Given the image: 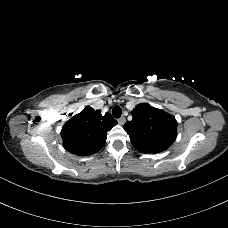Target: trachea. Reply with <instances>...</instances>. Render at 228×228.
I'll use <instances>...</instances> for the list:
<instances>
[{"instance_id":"trachea-1","label":"trachea","mask_w":228,"mask_h":228,"mask_svg":"<svg viewBox=\"0 0 228 228\" xmlns=\"http://www.w3.org/2000/svg\"><path fill=\"white\" fill-rule=\"evenodd\" d=\"M112 114L114 116V118H120L121 114H122V110L119 106H115L112 110Z\"/></svg>"}]
</instances>
